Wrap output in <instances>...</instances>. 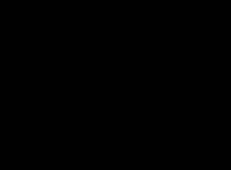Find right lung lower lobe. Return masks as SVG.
<instances>
[{"instance_id": "right-lung-lower-lobe-1", "label": "right lung lower lobe", "mask_w": 231, "mask_h": 170, "mask_svg": "<svg viewBox=\"0 0 231 170\" xmlns=\"http://www.w3.org/2000/svg\"><path fill=\"white\" fill-rule=\"evenodd\" d=\"M75 43L73 30L65 26L43 35L28 59L29 76L22 86L25 109L38 138L66 160L81 157L91 144L79 138L75 124L79 116H71V102L82 80L71 56Z\"/></svg>"}]
</instances>
